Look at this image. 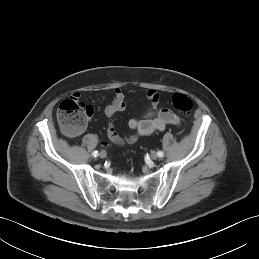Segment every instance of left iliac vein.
Segmentation results:
<instances>
[{
	"instance_id": "left-iliac-vein-1",
	"label": "left iliac vein",
	"mask_w": 259,
	"mask_h": 259,
	"mask_svg": "<svg viewBox=\"0 0 259 259\" xmlns=\"http://www.w3.org/2000/svg\"><path fill=\"white\" fill-rule=\"evenodd\" d=\"M151 158H152V160H157L158 159V154H157L156 151L151 152Z\"/></svg>"
}]
</instances>
